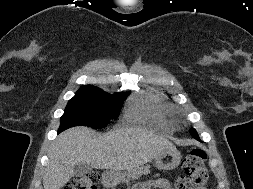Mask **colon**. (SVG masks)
Here are the masks:
<instances>
[{
    "label": "colon",
    "mask_w": 253,
    "mask_h": 189,
    "mask_svg": "<svg viewBox=\"0 0 253 189\" xmlns=\"http://www.w3.org/2000/svg\"><path fill=\"white\" fill-rule=\"evenodd\" d=\"M206 157L203 149L194 148L189 151L182 161L183 175L177 179L176 189H197L207 182ZM98 178L96 172H90L72 179L64 189H97Z\"/></svg>",
    "instance_id": "colon-1"
}]
</instances>
